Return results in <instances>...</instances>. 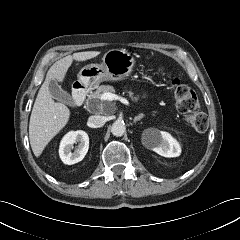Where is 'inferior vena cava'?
<instances>
[{
    "instance_id": "inferior-vena-cava-1",
    "label": "inferior vena cava",
    "mask_w": 240,
    "mask_h": 240,
    "mask_svg": "<svg viewBox=\"0 0 240 240\" xmlns=\"http://www.w3.org/2000/svg\"><path fill=\"white\" fill-rule=\"evenodd\" d=\"M106 122V117L101 115H93L88 118V124L90 127L98 128L102 127Z\"/></svg>"
}]
</instances>
